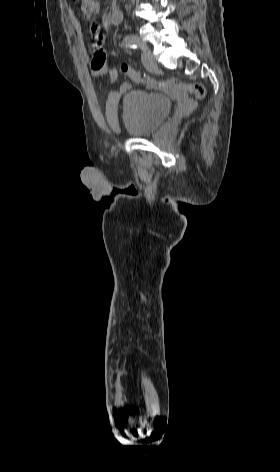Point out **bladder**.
Segmentation results:
<instances>
[{
    "mask_svg": "<svg viewBox=\"0 0 280 472\" xmlns=\"http://www.w3.org/2000/svg\"><path fill=\"white\" fill-rule=\"evenodd\" d=\"M120 108L127 134L137 138L156 132L171 114L173 102L159 93L132 89L122 97Z\"/></svg>",
    "mask_w": 280,
    "mask_h": 472,
    "instance_id": "31cf9c89",
    "label": "bladder"
}]
</instances>
